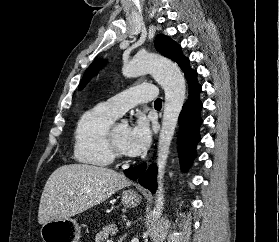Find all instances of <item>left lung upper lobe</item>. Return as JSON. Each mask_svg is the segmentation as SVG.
Listing matches in <instances>:
<instances>
[{
  "label": "left lung upper lobe",
  "instance_id": "left-lung-upper-lobe-1",
  "mask_svg": "<svg viewBox=\"0 0 279 242\" xmlns=\"http://www.w3.org/2000/svg\"><path fill=\"white\" fill-rule=\"evenodd\" d=\"M155 46L157 51L175 61L179 66H181L186 59V57L181 53L180 46L165 35L160 34L156 37ZM101 64L102 62L100 60H96L89 66L79 85V90H81L87 84Z\"/></svg>",
  "mask_w": 279,
  "mask_h": 242
}]
</instances>
